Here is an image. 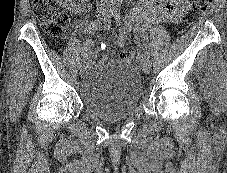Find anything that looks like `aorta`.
<instances>
[{
    "instance_id": "aorta-1",
    "label": "aorta",
    "mask_w": 227,
    "mask_h": 173,
    "mask_svg": "<svg viewBox=\"0 0 227 173\" xmlns=\"http://www.w3.org/2000/svg\"><path fill=\"white\" fill-rule=\"evenodd\" d=\"M112 2H117V3H120L122 2V0H111Z\"/></svg>"
}]
</instances>
